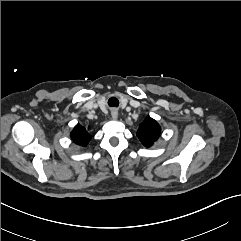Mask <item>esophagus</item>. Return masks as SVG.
Segmentation results:
<instances>
[{
	"label": "esophagus",
	"instance_id": "34e87169",
	"mask_svg": "<svg viewBox=\"0 0 241 241\" xmlns=\"http://www.w3.org/2000/svg\"><path fill=\"white\" fill-rule=\"evenodd\" d=\"M111 116H112V118L113 119H117L118 118V111H117V109H112L111 110Z\"/></svg>",
	"mask_w": 241,
	"mask_h": 241
}]
</instances>
